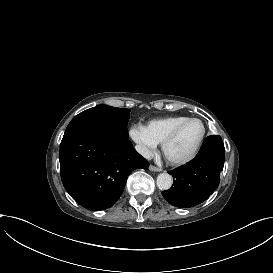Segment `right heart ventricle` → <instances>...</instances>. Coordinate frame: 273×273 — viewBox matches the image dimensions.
Segmentation results:
<instances>
[{"mask_svg": "<svg viewBox=\"0 0 273 273\" xmlns=\"http://www.w3.org/2000/svg\"><path fill=\"white\" fill-rule=\"evenodd\" d=\"M189 116L179 115L153 119L148 122L146 130L155 143H161L170 130Z\"/></svg>", "mask_w": 273, "mask_h": 273, "instance_id": "obj_1", "label": "right heart ventricle"}]
</instances>
